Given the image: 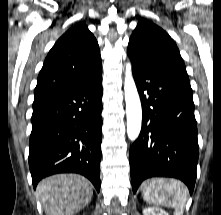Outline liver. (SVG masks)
<instances>
[{"instance_id": "obj_1", "label": "liver", "mask_w": 221, "mask_h": 215, "mask_svg": "<svg viewBox=\"0 0 221 215\" xmlns=\"http://www.w3.org/2000/svg\"><path fill=\"white\" fill-rule=\"evenodd\" d=\"M37 194L46 215H74L92 199V184L78 174H57L43 179Z\"/></svg>"}]
</instances>
